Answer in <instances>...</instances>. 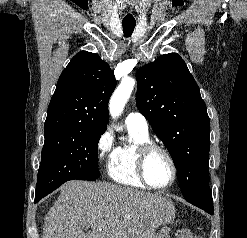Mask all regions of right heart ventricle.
I'll use <instances>...</instances> for the list:
<instances>
[{
  "instance_id": "e07e8e85",
  "label": "right heart ventricle",
  "mask_w": 247,
  "mask_h": 238,
  "mask_svg": "<svg viewBox=\"0 0 247 238\" xmlns=\"http://www.w3.org/2000/svg\"><path fill=\"white\" fill-rule=\"evenodd\" d=\"M127 128L130 141L122 143L113 149L107 163V173L117 184L145 188L146 185L142 182L137 172L136 160L139 147L150 141L149 134L133 127Z\"/></svg>"
}]
</instances>
